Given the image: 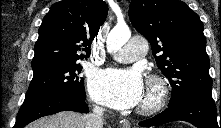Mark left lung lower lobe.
Wrapping results in <instances>:
<instances>
[{
    "instance_id": "obj_1",
    "label": "left lung lower lobe",
    "mask_w": 221,
    "mask_h": 128,
    "mask_svg": "<svg viewBox=\"0 0 221 128\" xmlns=\"http://www.w3.org/2000/svg\"><path fill=\"white\" fill-rule=\"evenodd\" d=\"M187 121L198 128H219L217 110L212 96L197 95L170 106L162 113L139 123L142 127L162 125L171 121ZM221 128V112H220Z\"/></svg>"
}]
</instances>
